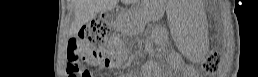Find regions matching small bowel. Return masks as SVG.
<instances>
[{
	"label": "small bowel",
	"mask_w": 258,
	"mask_h": 77,
	"mask_svg": "<svg viewBox=\"0 0 258 77\" xmlns=\"http://www.w3.org/2000/svg\"><path fill=\"white\" fill-rule=\"evenodd\" d=\"M87 62L91 65L96 66L98 69H108L113 63V53L112 52H97L94 54H89L87 57ZM90 75L89 73H87ZM90 77V76H86Z\"/></svg>",
	"instance_id": "c3829d8e"
}]
</instances>
